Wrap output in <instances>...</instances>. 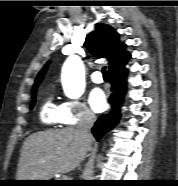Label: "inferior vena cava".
<instances>
[{
	"instance_id": "obj_1",
	"label": "inferior vena cava",
	"mask_w": 178,
	"mask_h": 186,
	"mask_svg": "<svg viewBox=\"0 0 178 186\" xmlns=\"http://www.w3.org/2000/svg\"><path fill=\"white\" fill-rule=\"evenodd\" d=\"M96 121V117L90 111H86L77 125V130L85 137H92L91 128Z\"/></svg>"
}]
</instances>
